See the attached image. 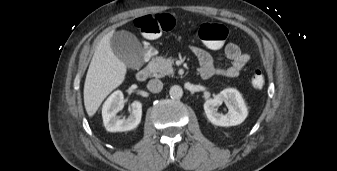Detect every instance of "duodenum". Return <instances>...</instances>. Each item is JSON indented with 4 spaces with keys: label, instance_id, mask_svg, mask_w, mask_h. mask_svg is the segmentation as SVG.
<instances>
[{
    "label": "duodenum",
    "instance_id": "duodenum-1",
    "mask_svg": "<svg viewBox=\"0 0 337 171\" xmlns=\"http://www.w3.org/2000/svg\"><path fill=\"white\" fill-rule=\"evenodd\" d=\"M200 74V72H199ZM150 76V69L148 67H144L142 69H140L137 74H136V78L139 81H145L148 79V77Z\"/></svg>",
    "mask_w": 337,
    "mask_h": 171
}]
</instances>
